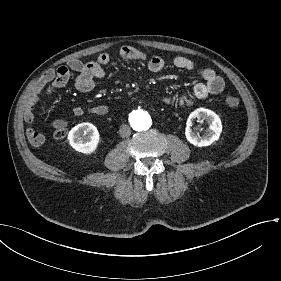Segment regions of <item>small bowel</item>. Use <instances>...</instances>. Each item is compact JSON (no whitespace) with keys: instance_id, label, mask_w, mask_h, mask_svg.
<instances>
[{"instance_id":"c3829d8e","label":"small bowel","mask_w":281,"mask_h":281,"mask_svg":"<svg viewBox=\"0 0 281 281\" xmlns=\"http://www.w3.org/2000/svg\"><path fill=\"white\" fill-rule=\"evenodd\" d=\"M119 55L126 60L145 62L148 69L153 73H159L165 67V60L162 57L157 55L149 56L131 46H123L119 50ZM110 60V54L103 52L94 61L82 62L78 59H73L67 66H60L56 69L46 71L36 83L33 95L26 103L24 109L25 122L28 125L33 124L35 108L40 99L46 98L56 89L64 87L70 80L71 71L79 74L75 80V88L80 92H88L93 89L96 79L105 76L104 66L107 65ZM171 64L176 69L198 72L203 81L196 83L190 91L178 97H166L164 102L170 108H190L199 100L205 99L210 95L220 94L225 88L224 79L213 69L198 68L192 60L181 56L175 57ZM72 112L77 117L83 116L86 113L106 115L109 112V107L105 104L76 106ZM25 135L35 146L44 144V136L36 132L33 127H28L25 130Z\"/></svg>"}]
</instances>
